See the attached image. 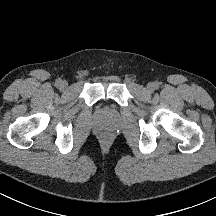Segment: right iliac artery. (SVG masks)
I'll use <instances>...</instances> for the list:
<instances>
[{
	"instance_id": "1",
	"label": "right iliac artery",
	"mask_w": 216,
	"mask_h": 216,
	"mask_svg": "<svg viewBox=\"0 0 216 216\" xmlns=\"http://www.w3.org/2000/svg\"><path fill=\"white\" fill-rule=\"evenodd\" d=\"M61 81H62L61 79H57V80H56V85H57V86L60 85Z\"/></svg>"
}]
</instances>
